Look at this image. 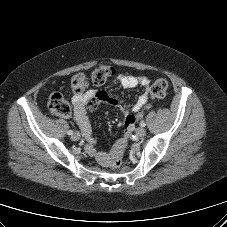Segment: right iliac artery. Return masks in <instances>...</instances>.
Returning <instances> with one entry per match:
<instances>
[{"mask_svg": "<svg viewBox=\"0 0 227 227\" xmlns=\"http://www.w3.org/2000/svg\"><path fill=\"white\" fill-rule=\"evenodd\" d=\"M67 134H68V135H72V134H73V131H72V130H69V131L67 132Z\"/></svg>", "mask_w": 227, "mask_h": 227, "instance_id": "82829eb1", "label": "right iliac artery"}]
</instances>
